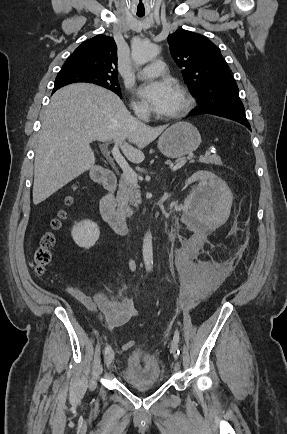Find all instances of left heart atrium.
I'll return each mask as SVG.
<instances>
[{"label":"left heart atrium","mask_w":287,"mask_h":434,"mask_svg":"<svg viewBox=\"0 0 287 434\" xmlns=\"http://www.w3.org/2000/svg\"><path fill=\"white\" fill-rule=\"evenodd\" d=\"M177 88L167 81H155L143 84L139 95L157 113L165 114L171 107Z\"/></svg>","instance_id":"1"}]
</instances>
